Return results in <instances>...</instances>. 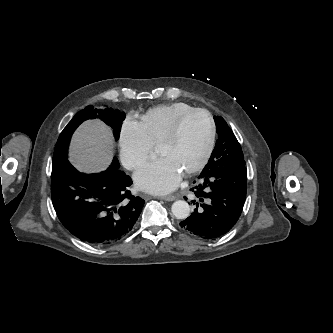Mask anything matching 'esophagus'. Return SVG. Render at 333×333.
<instances>
[{"label":"esophagus","instance_id":"esophagus-1","mask_svg":"<svg viewBox=\"0 0 333 333\" xmlns=\"http://www.w3.org/2000/svg\"><path fill=\"white\" fill-rule=\"evenodd\" d=\"M142 197H143L144 199L150 198V196L145 195V194L142 195ZM161 199H163V200H165V201H173V200L176 199V196H174V195H168V196H163V197H161Z\"/></svg>","mask_w":333,"mask_h":333}]
</instances>
